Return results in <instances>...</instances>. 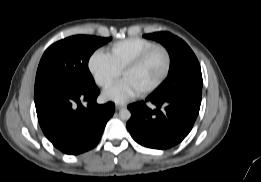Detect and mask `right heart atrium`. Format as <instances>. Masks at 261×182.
Here are the masks:
<instances>
[{
  "label": "right heart atrium",
  "instance_id": "1",
  "mask_svg": "<svg viewBox=\"0 0 261 182\" xmlns=\"http://www.w3.org/2000/svg\"><path fill=\"white\" fill-rule=\"evenodd\" d=\"M88 70L96 85L102 89L109 88L120 77V71L102 51H95L91 54L88 60Z\"/></svg>",
  "mask_w": 261,
  "mask_h": 182
}]
</instances>
